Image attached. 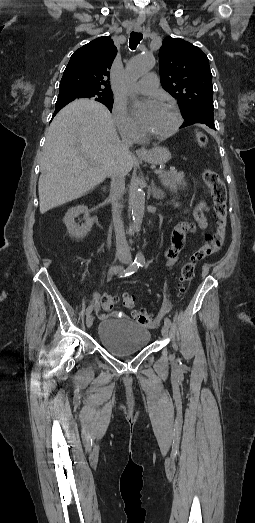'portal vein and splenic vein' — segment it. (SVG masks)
I'll list each match as a JSON object with an SVG mask.
<instances>
[{"mask_svg": "<svg viewBox=\"0 0 255 523\" xmlns=\"http://www.w3.org/2000/svg\"><path fill=\"white\" fill-rule=\"evenodd\" d=\"M162 173H168V168H162V171H160L159 169L152 171V174H155L156 176H159Z\"/></svg>", "mask_w": 255, "mask_h": 523, "instance_id": "18ae733b", "label": "portal vein and splenic vein"}]
</instances>
